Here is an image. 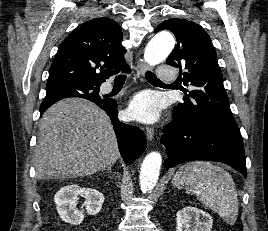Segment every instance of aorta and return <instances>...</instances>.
I'll list each match as a JSON object with an SVG mask.
<instances>
[{
	"instance_id": "obj_1",
	"label": "aorta",
	"mask_w": 268,
	"mask_h": 231,
	"mask_svg": "<svg viewBox=\"0 0 268 231\" xmlns=\"http://www.w3.org/2000/svg\"><path fill=\"white\" fill-rule=\"evenodd\" d=\"M174 37L168 32L156 34L147 44L144 60L149 65H156L164 61L174 48ZM162 164L159 152L153 151L146 155L140 170V188L143 193H148L155 187Z\"/></svg>"
}]
</instances>
